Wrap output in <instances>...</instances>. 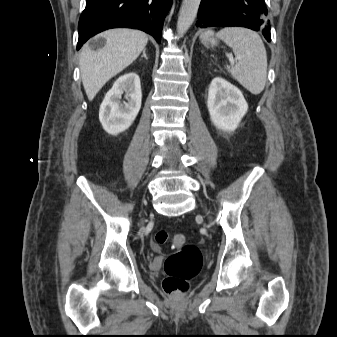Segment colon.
<instances>
[{
	"mask_svg": "<svg viewBox=\"0 0 337 337\" xmlns=\"http://www.w3.org/2000/svg\"><path fill=\"white\" fill-rule=\"evenodd\" d=\"M168 241L177 248V251L165 260L163 287L168 294H183L188 289L189 281L202 267V254L197 246L186 244L185 237L181 234L170 236L166 231H158L155 234L156 246Z\"/></svg>",
	"mask_w": 337,
	"mask_h": 337,
	"instance_id": "colon-1",
	"label": "colon"
}]
</instances>
